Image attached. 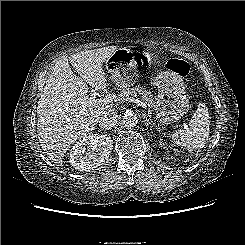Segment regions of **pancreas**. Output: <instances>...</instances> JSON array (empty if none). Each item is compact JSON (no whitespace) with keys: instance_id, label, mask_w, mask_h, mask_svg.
I'll return each instance as SVG.
<instances>
[{"instance_id":"cf45deb5","label":"pancreas","mask_w":245,"mask_h":245,"mask_svg":"<svg viewBox=\"0 0 245 245\" xmlns=\"http://www.w3.org/2000/svg\"><path fill=\"white\" fill-rule=\"evenodd\" d=\"M128 97H140L148 106L155 107V97L151 92L147 91L143 87H132L123 89L117 96V101L121 102Z\"/></svg>"}]
</instances>
